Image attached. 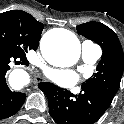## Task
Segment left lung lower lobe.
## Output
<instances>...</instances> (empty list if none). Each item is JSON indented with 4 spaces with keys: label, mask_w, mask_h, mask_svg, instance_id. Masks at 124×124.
<instances>
[{
    "label": "left lung lower lobe",
    "mask_w": 124,
    "mask_h": 124,
    "mask_svg": "<svg viewBox=\"0 0 124 124\" xmlns=\"http://www.w3.org/2000/svg\"><path fill=\"white\" fill-rule=\"evenodd\" d=\"M38 86L46 94L49 113L57 124H94L111 104L102 95L84 89L77 96L52 83Z\"/></svg>",
    "instance_id": "1"
}]
</instances>
